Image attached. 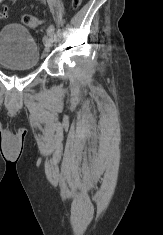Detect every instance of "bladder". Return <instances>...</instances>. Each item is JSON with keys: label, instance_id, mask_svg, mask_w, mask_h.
Wrapping results in <instances>:
<instances>
[{"label": "bladder", "instance_id": "obj_1", "mask_svg": "<svg viewBox=\"0 0 163 235\" xmlns=\"http://www.w3.org/2000/svg\"><path fill=\"white\" fill-rule=\"evenodd\" d=\"M39 46L20 24H8L0 30V65L12 69H33L38 66Z\"/></svg>", "mask_w": 163, "mask_h": 235}]
</instances>
